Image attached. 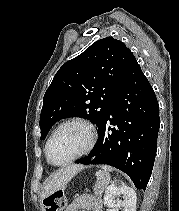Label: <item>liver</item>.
Masks as SVG:
<instances>
[{
	"mask_svg": "<svg viewBox=\"0 0 179 211\" xmlns=\"http://www.w3.org/2000/svg\"><path fill=\"white\" fill-rule=\"evenodd\" d=\"M82 169L83 166L81 165H71L56 171L46 183L44 191L41 194V198L44 199L54 192L63 189L73 176Z\"/></svg>",
	"mask_w": 179,
	"mask_h": 211,
	"instance_id": "1",
	"label": "liver"
}]
</instances>
